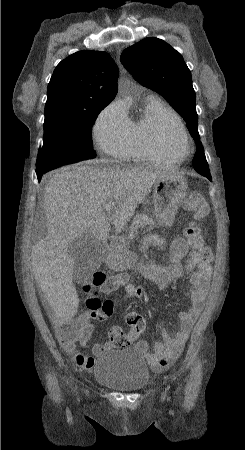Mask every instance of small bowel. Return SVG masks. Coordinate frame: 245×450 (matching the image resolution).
Here are the masks:
<instances>
[{"label":"small bowel","mask_w":245,"mask_h":450,"mask_svg":"<svg viewBox=\"0 0 245 450\" xmlns=\"http://www.w3.org/2000/svg\"><path fill=\"white\" fill-rule=\"evenodd\" d=\"M145 242L150 246H164L166 239L158 234H151L146 237ZM187 260L184 262V258ZM213 260V258H212ZM212 260L209 262H203L199 259L198 255L194 251H189L186 242L183 238L175 236L171 241V255L170 263L166 267L149 266L145 267L143 271L153 279L159 289L166 288L172 281L179 279L185 268L192 270L189 294L191 300V306L187 311H181L178 313V319L180 321V328L171 334L169 331L164 332V341L159 342L154 346L153 350H150L148 343L144 340H137L132 345L133 347L144 357L147 365L156 372H162L167 370L175 361L179 358L184 348V345L190 335L192 327L202 310L204 300L206 298L209 280L213 274ZM119 288L124 289V293L121 296L122 299L142 298L148 294V290L136 286L130 283H121L113 287L111 291H115ZM111 315V303H104L103 307L99 310H94L90 306L86 312L78 317L58 318L53 316L54 321H67V320H81L89 322L90 319H96L98 321H104ZM91 329L87 332L85 337L80 341L83 345H86L90 335ZM56 337L63 345L67 354L85 369H91L93 358L84 355L80 352L75 341H64L56 331ZM117 347L112 341L109 340L96 343L92 347L94 355H101L113 348ZM81 357L85 361H81Z\"/></svg>","instance_id":"small-bowel-1"}]
</instances>
